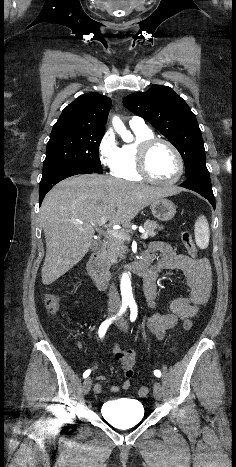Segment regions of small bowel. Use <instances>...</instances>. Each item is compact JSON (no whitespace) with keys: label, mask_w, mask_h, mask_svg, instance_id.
Masks as SVG:
<instances>
[{"label":"small bowel","mask_w":236,"mask_h":467,"mask_svg":"<svg viewBox=\"0 0 236 467\" xmlns=\"http://www.w3.org/2000/svg\"><path fill=\"white\" fill-rule=\"evenodd\" d=\"M144 260L150 266L154 278L144 281V294L149 308L155 306L157 296L156 277L161 270H180L184 273L190 294L186 297L174 299L169 304L167 313H154L147 320L148 331L157 339H162L165 333L176 326L180 321L192 318L201 307L208 304L213 288L212 271L206 258H191L183 254H177L173 248L162 241H153L147 249ZM116 360L121 364L125 379L121 385H113L112 393L120 390H129L130 379L133 376V367L136 361V351L133 349L113 348ZM121 355L120 358H117ZM100 382L106 380L104 375H99ZM94 390L101 394L104 390L102 383L95 385Z\"/></svg>","instance_id":"obj_1"}]
</instances>
